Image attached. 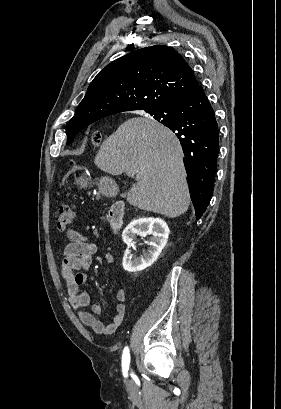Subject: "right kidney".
I'll return each mask as SVG.
<instances>
[{
  "label": "right kidney",
  "mask_w": 281,
  "mask_h": 409,
  "mask_svg": "<svg viewBox=\"0 0 281 409\" xmlns=\"http://www.w3.org/2000/svg\"><path fill=\"white\" fill-rule=\"evenodd\" d=\"M170 229L163 219H154V217H139L133 219L122 233V239L127 245L123 257V269L129 273H138L151 267L157 261L162 249H164L169 237ZM137 235L147 237L152 235L150 241H145L149 245L148 253H143L141 257L132 255L130 247L135 245Z\"/></svg>",
  "instance_id": "right-kidney-1"
}]
</instances>
